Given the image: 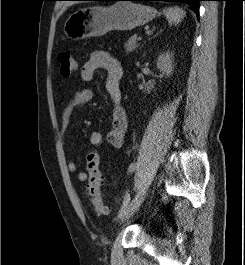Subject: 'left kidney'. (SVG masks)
I'll list each match as a JSON object with an SVG mask.
<instances>
[{"label":"left kidney","instance_id":"1","mask_svg":"<svg viewBox=\"0 0 245 265\" xmlns=\"http://www.w3.org/2000/svg\"><path fill=\"white\" fill-rule=\"evenodd\" d=\"M173 54L166 52L164 54L159 55L157 59V68L166 76H170L174 69V65L172 64Z\"/></svg>","mask_w":245,"mask_h":265}]
</instances>
